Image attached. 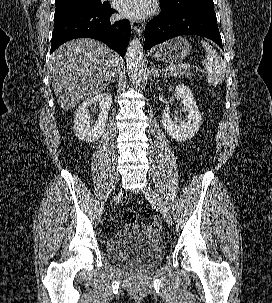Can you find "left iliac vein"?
Masks as SVG:
<instances>
[{
  "label": "left iliac vein",
  "mask_w": 272,
  "mask_h": 303,
  "mask_svg": "<svg viewBox=\"0 0 272 303\" xmlns=\"http://www.w3.org/2000/svg\"><path fill=\"white\" fill-rule=\"evenodd\" d=\"M144 195L153 203L157 206L159 211L161 212L163 218L168 224H171L172 218L170 215V212L165 205V203L162 201V199L159 197L158 193L155 192L152 188L146 187L143 190Z\"/></svg>",
  "instance_id": "4c4485c4"
}]
</instances>
